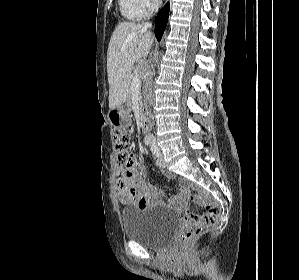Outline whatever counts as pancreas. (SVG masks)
I'll return each mask as SVG.
<instances>
[{
    "instance_id": "cf45deb5",
    "label": "pancreas",
    "mask_w": 299,
    "mask_h": 280,
    "mask_svg": "<svg viewBox=\"0 0 299 280\" xmlns=\"http://www.w3.org/2000/svg\"><path fill=\"white\" fill-rule=\"evenodd\" d=\"M141 92L139 91L137 94H133L131 91L128 92L127 103L130 107H132L134 100H136L141 106Z\"/></svg>"
}]
</instances>
